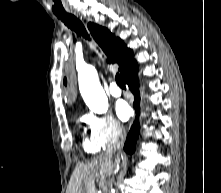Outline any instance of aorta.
<instances>
[{"label": "aorta", "instance_id": "762f6f07", "mask_svg": "<svg viewBox=\"0 0 221 193\" xmlns=\"http://www.w3.org/2000/svg\"><path fill=\"white\" fill-rule=\"evenodd\" d=\"M78 82L81 95L89 109L97 114L108 110V99L99 82L94 66L87 65L79 70Z\"/></svg>", "mask_w": 221, "mask_h": 193}]
</instances>
